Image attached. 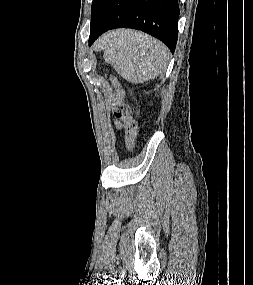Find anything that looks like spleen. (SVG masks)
Masks as SVG:
<instances>
[{"mask_svg":"<svg viewBox=\"0 0 253 285\" xmlns=\"http://www.w3.org/2000/svg\"><path fill=\"white\" fill-rule=\"evenodd\" d=\"M104 59L126 81L143 83L158 76L169 60L159 40L134 30H120L104 41Z\"/></svg>","mask_w":253,"mask_h":285,"instance_id":"3e777b00","label":"spleen"}]
</instances>
